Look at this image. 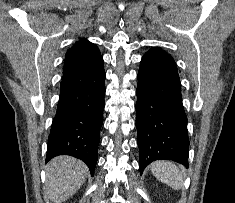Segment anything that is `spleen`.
<instances>
[{"label":"spleen","instance_id":"1","mask_svg":"<svg viewBox=\"0 0 235 203\" xmlns=\"http://www.w3.org/2000/svg\"><path fill=\"white\" fill-rule=\"evenodd\" d=\"M151 172L158 180L173 189L180 190L184 186L182 173L173 162L156 161L151 164Z\"/></svg>","mask_w":235,"mask_h":203}]
</instances>
